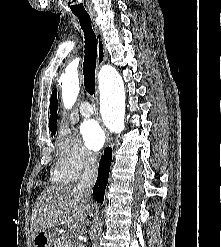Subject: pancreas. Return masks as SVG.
Wrapping results in <instances>:
<instances>
[{"instance_id":"pancreas-1","label":"pancreas","mask_w":221,"mask_h":247,"mask_svg":"<svg viewBox=\"0 0 221 247\" xmlns=\"http://www.w3.org/2000/svg\"><path fill=\"white\" fill-rule=\"evenodd\" d=\"M54 247H72L71 240L65 236H62L55 240Z\"/></svg>"}]
</instances>
